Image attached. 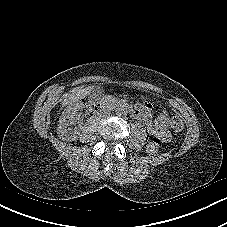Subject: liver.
Listing matches in <instances>:
<instances>
[{
  "label": "liver",
  "instance_id": "6515ba94",
  "mask_svg": "<svg viewBox=\"0 0 227 227\" xmlns=\"http://www.w3.org/2000/svg\"><path fill=\"white\" fill-rule=\"evenodd\" d=\"M91 89H92L91 87L90 88H87V90H89V91H91ZM89 91H86L85 94H87Z\"/></svg>",
  "mask_w": 227,
  "mask_h": 227
}]
</instances>
